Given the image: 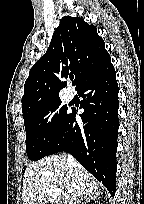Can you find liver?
Here are the masks:
<instances>
[{"mask_svg": "<svg viewBox=\"0 0 144 204\" xmlns=\"http://www.w3.org/2000/svg\"><path fill=\"white\" fill-rule=\"evenodd\" d=\"M61 190L63 203L76 196L77 199L99 194L95 178L79 163H68L65 155H52L30 163L23 178V204H38L45 200L47 188Z\"/></svg>", "mask_w": 144, "mask_h": 204, "instance_id": "liver-1", "label": "liver"}]
</instances>
